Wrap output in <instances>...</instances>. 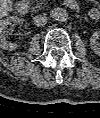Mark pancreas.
Listing matches in <instances>:
<instances>
[{"mask_svg": "<svg viewBox=\"0 0 100 118\" xmlns=\"http://www.w3.org/2000/svg\"><path fill=\"white\" fill-rule=\"evenodd\" d=\"M35 1H39V4H43L46 0H35ZM39 4H37V5L35 6V8H33V9L39 8V7H40Z\"/></svg>", "mask_w": 100, "mask_h": 118, "instance_id": "obj_1", "label": "pancreas"}]
</instances>
